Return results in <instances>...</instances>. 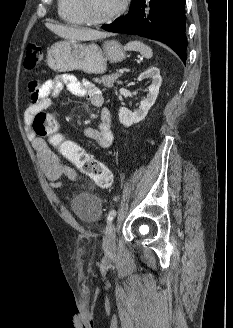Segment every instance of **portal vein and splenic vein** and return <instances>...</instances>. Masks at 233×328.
Segmentation results:
<instances>
[{"label":"portal vein and splenic vein","mask_w":233,"mask_h":328,"mask_svg":"<svg viewBox=\"0 0 233 328\" xmlns=\"http://www.w3.org/2000/svg\"><path fill=\"white\" fill-rule=\"evenodd\" d=\"M124 71H125L124 69H120L119 73H124Z\"/></svg>","instance_id":"obj_1"}]
</instances>
